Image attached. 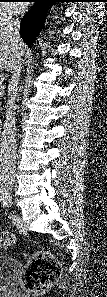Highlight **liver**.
Listing matches in <instances>:
<instances>
[{"mask_svg": "<svg viewBox=\"0 0 107 297\" xmlns=\"http://www.w3.org/2000/svg\"><path fill=\"white\" fill-rule=\"evenodd\" d=\"M26 46L22 47L11 44L7 37L0 34V68L6 71H13L18 60V52L24 55Z\"/></svg>", "mask_w": 107, "mask_h": 297, "instance_id": "obj_1", "label": "liver"}]
</instances>
